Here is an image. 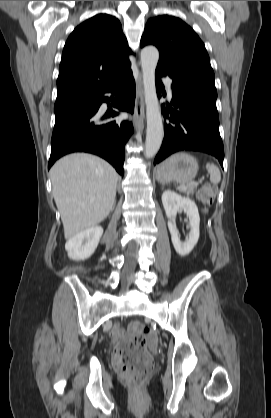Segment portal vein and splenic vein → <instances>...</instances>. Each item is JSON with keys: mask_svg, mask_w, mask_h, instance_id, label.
<instances>
[{"mask_svg": "<svg viewBox=\"0 0 271 418\" xmlns=\"http://www.w3.org/2000/svg\"><path fill=\"white\" fill-rule=\"evenodd\" d=\"M187 187H188L187 185L181 186L182 189H186Z\"/></svg>", "mask_w": 271, "mask_h": 418, "instance_id": "1", "label": "portal vein and splenic vein"}]
</instances>
